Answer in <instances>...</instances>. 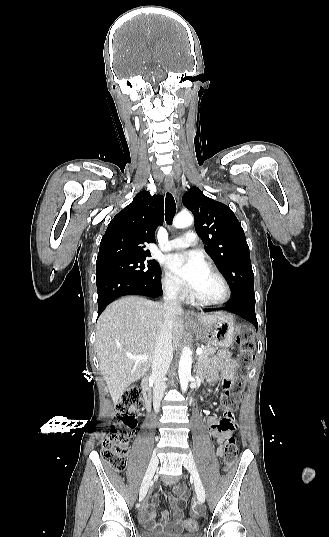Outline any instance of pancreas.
Masks as SVG:
<instances>
[{
    "instance_id": "pancreas-1",
    "label": "pancreas",
    "mask_w": 329,
    "mask_h": 537,
    "mask_svg": "<svg viewBox=\"0 0 329 537\" xmlns=\"http://www.w3.org/2000/svg\"><path fill=\"white\" fill-rule=\"evenodd\" d=\"M217 348L216 347H213V346H205L203 348V352L202 354L198 357V361L199 362H205L209 359L210 356L214 355V353L216 352Z\"/></svg>"
}]
</instances>
